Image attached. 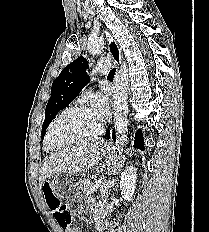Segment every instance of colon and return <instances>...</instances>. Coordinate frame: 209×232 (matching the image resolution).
Wrapping results in <instances>:
<instances>
[{
  "label": "colon",
  "instance_id": "obj_1",
  "mask_svg": "<svg viewBox=\"0 0 209 232\" xmlns=\"http://www.w3.org/2000/svg\"><path fill=\"white\" fill-rule=\"evenodd\" d=\"M44 194L46 196L47 205L56 220V226H61L62 228L69 227L72 222V216L68 207L60 203L49 186L44 187Z\"/></svg>",
  "mask_w": 209,
  "mask_h": 232
}]
</instances>
